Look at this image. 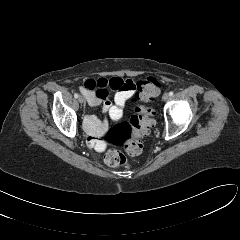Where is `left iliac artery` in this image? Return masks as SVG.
<instances>
[{
    "label": "left iliac artery",
    "mask_w": 240,
    "mask_h": 240,
    "mask_svg": "<svg viewBox=\"0 0 240 240\" xmlns=\"http://www.w3.org/2000/svg\"><path fill=\"white\" fill-rule=\"evenodd\" d=\"M173 94H174L173 91H170V92H169V96H172Z\"/></svg>",
    "instance_id": "1"
}]
</instances>
